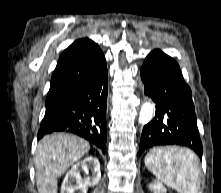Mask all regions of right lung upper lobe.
<instances>
[{
	"mask_svg": "<svg viewBox=\"0 0 221 193\" xmlns=\"http://www.w3.org/2000/svg\"><path fill=\"white\" fill-rule=\"evenodd\" d=\"M104 59L99 46L92 40L75 41L59 58L46 102L64 100Z\"/></svg>",
	"mask_w": 221,
	"mask_h": 193,
	"instance_id": "right-lung-upper-lobe-1",
	"label": "right lung upper lobe"
}]
</instances>
